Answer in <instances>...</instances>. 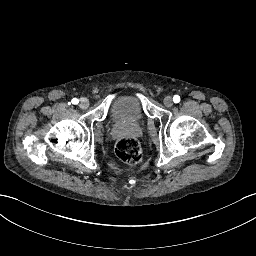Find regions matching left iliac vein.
<instances>
[{
  "label": "left iliac vein",
  "instance_id": "left-iliac-vein-1",
  "mask_svg": "<svg viewBox=\"0 0 256 256\" xmlns=\"http://www.w3.org/2000/svg\"><path fill=\"white\" fill-rule=\"evenodd\" d=\"M163 103L166 107H171L173 105V99L171 96H166L163 100Z\"/></svg>",
  "mask_w": 256,
  "mask_h": 256
}]
</instances>
